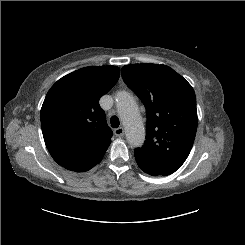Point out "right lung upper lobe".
Here are the masks:
<instances>
[{"label":"right lung upper lobe","mask_w":245,"mask_h":245,"mask_svg":"<svg viewBox=\"0 0 245 245\" xmlns=\"http://www.w3.org/2000/svg\"><path fill=\"white\" fill-rule=\"evenodd\" d=\"M116 66L86 67L59 79L41 108L44 141L62 167L84 172L94 167L111 143L99 99L119 79Z\"/></svg>","instance_id":"obj_1"}]
</instances>
